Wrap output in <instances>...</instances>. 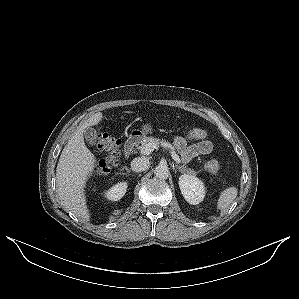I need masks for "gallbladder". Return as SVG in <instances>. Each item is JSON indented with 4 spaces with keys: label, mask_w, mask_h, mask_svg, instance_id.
Wrapping results in <instances>:
<instances>
[{
    "label": "gallbladder",
    "mask_w": 299,
    "mask_h": 299,
    "mask_svg": "<svg viewBox=\"0 0 299 299\" xmlns=\"http://www.w3.org/2000/svg\"><path fill=\"white\" fill-rule=\"evenodd\" d=\"M84 137L89 146H94L97 143V132L94 128L87 127L84 130Z\"/></svg>",
    "instance_id": "gallbladder-1"
}]
</instances>
